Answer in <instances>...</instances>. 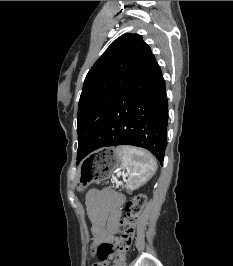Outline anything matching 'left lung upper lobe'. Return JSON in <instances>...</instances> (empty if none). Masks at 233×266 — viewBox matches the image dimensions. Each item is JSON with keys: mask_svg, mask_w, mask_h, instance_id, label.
Listing matches in <instances>:
<instances>
[{"mask_svg": "<svg viewBox=\"0 0 233 266\" xmlns=\"http://www.w3.org/2000/svg\"><path fill=\"white\" fill-rule=\"evenodd\" d=\"M152 56L138 34L117 38L88 72L77 115L78 154L85 150L109 111Z\"/></svg>", "mask_w": 233, "mask_h": 266, "instance_id": "obj_1", "label": "left lung upper lobe"}]
</instances>
